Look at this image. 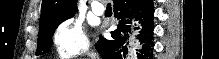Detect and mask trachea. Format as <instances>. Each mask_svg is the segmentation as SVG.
Instances as JSON below:
<instances>
[{"label": "trachea", "instance_id": "obj_1", "mask_svg": "<svg viewBox=\"0 0 219 59\" xmlns=\"http://www.w3.org/2000/svg\"><path fill=\"white\" fill-rule=\"evenodd\" d=\"M107 7H108V8H111V4L109 3V4L107 5Z\"/></svg>", "mask_w": 219, "mask_h": 59}]
</instances>
